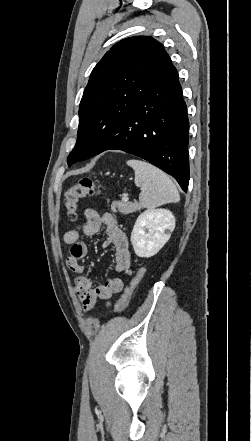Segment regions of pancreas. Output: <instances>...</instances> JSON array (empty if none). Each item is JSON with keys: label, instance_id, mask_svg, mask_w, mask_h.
Segmentation results:
<instances>
[{"label": "pancreas", "instance_id": "1", "mask_svg": "<svg viewBox=\"0 0 251 441\" xmlns=\"http://www.w3.org/2000/svg\"><path fill=\"white\" fill-rule=\"evenodd\" d=\"M142 209L138 202L114 201L111 205V210L116 213L130 214Z\"/></svg>", "mask_w": 251, "mask_h": 441}]
</instances>
